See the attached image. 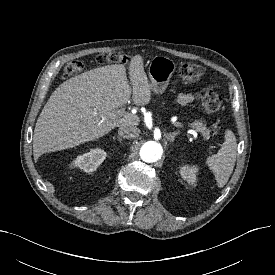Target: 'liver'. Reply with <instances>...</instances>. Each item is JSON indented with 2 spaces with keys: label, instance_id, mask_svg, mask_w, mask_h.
Here are the masks:
<instances>
[{
  "label": "liver",
  "instance_id": "obj_1",
  "mask_svg": "<svg viewBox=\"0 0 275 275\" xmlns=\"http://www.w3.org/2000/svg\"><path fill=\"white\" fill-rule=\"evenodd\" d=\"M129 75L131 86L123 64L108 65L72 77L57 87L36 122L34 158L96 140L115 127L137 126L138 116L118 108L131 96L137 106L151 100V85L141 55L130 59Z\"/></svg>",
  "mask_w": 275,
  "mask_h": 275
}]
</instances>
